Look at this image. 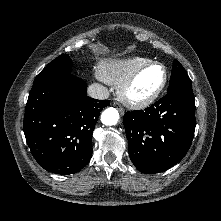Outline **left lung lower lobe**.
Masks as SVG:
<instances>
[{
  "label": "left lung lower lobe",
  "instance_id": "obj_1",
  "mask_svg": "<svg viewBox=\"0 0 221 221\" xmlns=\"http://www.w3.org/2000/svg\"><path fill=\"white\" fill-rule=\"evenodd\" d=\"M129 155L144 173L165 171L182 160L194 136L192 83H181L149 108L125 113Z\"/></svg>",
  "mask_w": 221,
  "mask_h": 221
}]
</instances>
